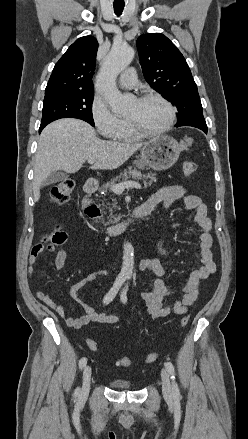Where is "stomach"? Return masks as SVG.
Listing matches in <instances>:
<instances>
[{"mask_svg":"<svg viewBox=\"0 0 248 439\" xmlns=\"http://www.w3.org/2000/svg\"><path fill=\"white\" fill-rule=\"evenodd\" d=\"M182 149L172 137H156L142 147L141 161L154 170H167L176 163Z\"/></svg>","mask_w":248,"mask_h":439,"instance_id":"stomach-1","label":"stomach"}]
</instances>
